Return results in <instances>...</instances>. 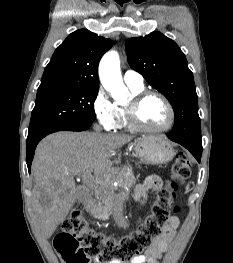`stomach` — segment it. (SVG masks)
Returning <instances> with one entry per match:
<instances>
[{
  "mask_svg": "<svg viewBox=\"0 0 233 263\" xmlns=\"http://www.w3.org/2000/svg\"><path fill=\"white\" fill-rule=\"evenodd\" d=\"M136 156L146 164H163L174 156L170 143L161 136L146 135L135 140Z\"/></svg>",
  "mask_w": 233,
  "mask_h": 263,
  "instance_id": "0dacf381",
  "label": "stomach"
}]
</instances>
